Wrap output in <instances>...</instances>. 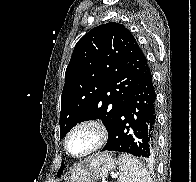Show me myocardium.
Here are the masks:
<instances>
[{
    "mask_svg": "<svg viewBox=\"0 0 196 182\" xmlns=\"http://www.w3.org/2000/svg\"><path fill=\"white\" fill-rule=\"evenodd\" d=\"M84 129L90 130L94 134V142L85 152L78 154V155L73 154L69 149V140L75 132L79 130H84ZM107 137H108L107 129L101 121L97 119H92V118L84 119L74 124L68 130L64 138L63 145H64V149L66 153L69 156L76 158V159H81V158L88 157L94 154L95 152H97L99 149H101L103 145L106 143Z\"/></svg>",
    "mask_w": 196,
    "mask_h": 182,
    "instance_id": "f54148a6",
    "label": "myocardium"
}]
</instances>
